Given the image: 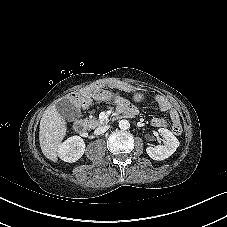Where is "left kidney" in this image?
<instances>
[{
  "label": "left kidney",
  "mask_w": 227,
  "mask_h": 227,
  "mask_svg": "<svg viewBox=\"0 0 227 227\" xmlns=\"http://www.w3.org/2000/svg\"><path fill=\"white\" fill-rule=\"evenodd\" d=\"M158 132L164 138V144L155 147L149 146L146 148V152L153 160L160 161L170 157L176 151L179 141L168 129L160 128Z\"/></svg>",
  "instance_id": "obj_1"
}]
</instances>
